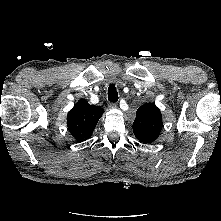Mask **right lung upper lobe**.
<instances>
[{
    "label": "right lung upper lobe",
    "instance_id": "obj_1",
    "mask_svg": "<svg viewBox=\"0 0 221 221\" xmlns=\"http://www.w3.org/2000/svg\"><path fill=\"white\" fill-rule=\"evenodd\" d=\"M103 112L101 107L90 105L86 100L78 101L68 112L69 132L78 142L89 139Z\"/></svg>",
    "mask_w": 221,
    "mask_h": 221
}]
</instances>
